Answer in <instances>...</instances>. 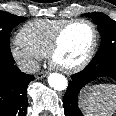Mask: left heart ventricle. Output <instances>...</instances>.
Segmentation results:
<instances>
[{"label": "left heart ventricle", "mask_w": 116, "mask_h": 116, "mask_svg": "<svg viewBox=\"0 0 116 116\" xmlns=\"http://www.w3.org/2000/svg\"><path fill=\"white\" fill-rule=\"evenodd\" d=\"M92 43V30L84 23L70 26L64 33L55 62L64 67L79 63L87 54Z\"/></svg>", "instance_id": "obj_1"}]
</instances>
